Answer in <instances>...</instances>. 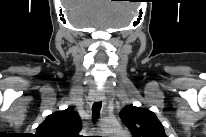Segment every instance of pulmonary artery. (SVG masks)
<instances>
[{
    "label": "pulmonary artery",
    "mask_w": 206,
    "mask_h": 137,
    "mask_svg": "<svg viewBox=\"0 0 206 137\" xmlns=\"http://www.w3.org/2000/svg\"><path fill=\"white\" fill-rule=\"evenodd\" d=\"M113 137H127V134L124 131H118Z\"/></svg>",
    "instance_id": "1"
}]
</instances>
